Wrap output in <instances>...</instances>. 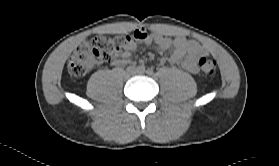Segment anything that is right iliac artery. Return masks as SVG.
I'll return each instance as SVG.
<instances>
[{
    "mask_svg": "<svg viewBox=\"0 0 279 166\" xmlns=\"http://www.w3.org/2000/svg\"><path fill=\"white\" fill-rule=\"evenodd\" d=\"M137 70H138L139 72H144V71H145V66H144V64L139 65V66L137 67Z\"/></svg>",
    "mask_w": 279,
    "mask_h": 166,
    "instance_id": "1",
    "label": "right iliac artery"
}]
</instances>
